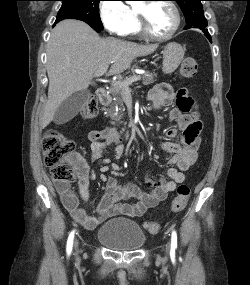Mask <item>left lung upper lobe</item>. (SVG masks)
<instances>
[{
    "label": "left lung upper lobe",
    "instance_id": "obj_1",
    "mask_svg": "<svg viewBox=\"0 0 250 285\" xmlns=\"http://www.w3.org/2000/svg\"><path fill=\"white\" fill-rule=\"evenodd\" d=\"M179 4L186 19L185 29L197 28L208 31L206 29L207 20L203 13L201 1L203 0H175Z\"/></svg>",
    "mask_w": 250,
    "mask_h": 285
}]
</instances>
